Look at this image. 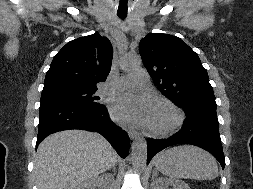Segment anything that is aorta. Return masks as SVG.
<instances>
[{"instance_id": "obj_1", "label": "aorta", "mask_w": 253, "mask_h": 189, "mask_svg": "<svg viewBox=\"0 0 253 189\" xmlns=\"http://www.w3.org/2000/svg\"><path fill=\"white\" fill-rule=\"evenodd\" d=\"M141 64L139 57H129L124 61V68H137ZM131 158L133 167L136 170H144L147 162V143L144 138L137 137L131 146Z\"/></svg>"}]
</instances>
